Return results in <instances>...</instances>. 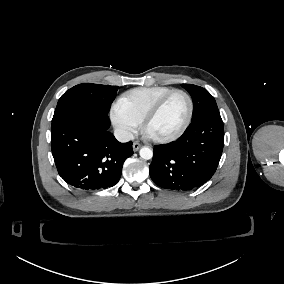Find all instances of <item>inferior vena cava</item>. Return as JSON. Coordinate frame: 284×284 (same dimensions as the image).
I'll list each match as a JSON object with an SVG mask.
<instances>
[{"label":"inferior vena cava","instance_id":"602c4592","mask_svg":"<svg viewBox=\"0 0 284 284\" xmlns=\"http://www.w3.org/2000/svg\"><path fill=\"white\" fill-rule=\"evenodd\" d=\"M114 136L119 142H128L134 140L133 133L123 128L115 129Z\"/></svg>","mask_w":284,"mask_h":284}]
</instances>
